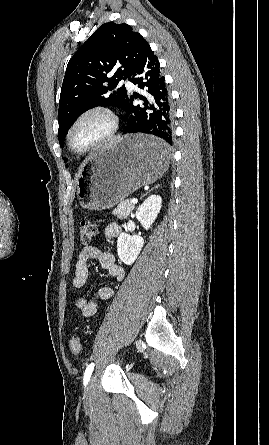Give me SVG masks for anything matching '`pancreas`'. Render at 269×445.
Returning a JSON list of instances; mask_svg holds the SVG:
<instances>
[{
	"label": "pancreas",
	"mask_w": 269,
	"mask_h": 445,
	"mask_svg": "<svg viewBox=\"0 0 269 445\" xmlns=\"http://www.w3.org/2000/svg\"><path fill=\"white\" fill-rule=\"evenodd\" d=\"M133 209L134 204L131 202V200H125L118 204L117 208L113 210V214L119 219H125L129 216Z\"/></svg>",
	"instance_id": "pancreas-1"
}]
</instances>
